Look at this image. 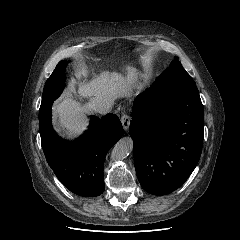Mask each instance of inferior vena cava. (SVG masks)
<instances>
[{"label": "inferior vena cava", "instance_id": "inferior-vena-cava-1", "mask_svg": "<svg viewBox=\"0 0 240 240\" xmlns=\"http://www.w3.org/2000/svg\"><path fill=\"white\" fill-rule=\"evenodd\" d=\"M89 107L99 114H107L110 111L111 104L106 99L95 98L89 103Z\"/></svg>", "mask_w": 240, "mask_h": 240}]
</instances>
